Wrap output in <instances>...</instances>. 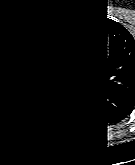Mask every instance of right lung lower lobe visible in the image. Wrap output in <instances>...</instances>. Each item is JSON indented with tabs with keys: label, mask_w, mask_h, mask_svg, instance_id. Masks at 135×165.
<instances>
[{
	"label": "right lung lower lobe",
	"mask_w": 135,
	"mask_h": 165,
	"mask_svg": "<svg viewBox=\"0 0 135 165\" xmlns=\"http://www.w3.org/2000/svg\"><path fill=\"white\" fill-rule=\"evenodd\" d=\"M57 90L54 79L0 80V123L36 127L50 114Z\"/></svg>",
	"instance_id": "right-lung-lower-lobe-1"
}]
</instances>
